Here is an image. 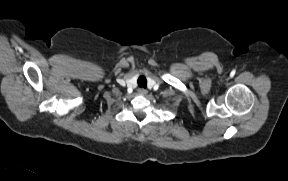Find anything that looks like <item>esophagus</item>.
<instances>
[{
	"label": "esophagus",
	"mask_w": 288,
	"mask_h": 181,
	"mask_svg": "<svg viewBox=\"0 0 288 181\" xmlns=\"http://www.w3.org/2000/svg\"><path fill=\"white\" fill-rule=\"evenodd\" d=\"M138 91H139V94L141 95H145L147 93V91L143 88L139 89Z\"/></svg>",
	"instance_id": "34e87169"
}]
</instances>
